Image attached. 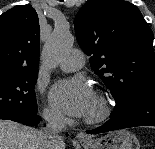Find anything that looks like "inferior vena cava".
I'll return each instance as SVG.
<instances>
[{"label":"inferior vena cava","mask_w":155,"mask_h":149,"mask_svg":"<svg viewBox=\"0 0 155 149\" xmlns=\"http://www.w3.org/2000/svg\"><path fill=\"white\" fill-rule=\"evenodd\" d=\"M47 126L43 131L44 149H59L63 144L60 133L65 129V117L59 112L43 114Z\"/></svg>","instance_id":"1"}]
</instances>
